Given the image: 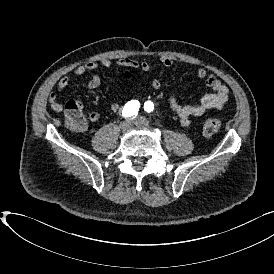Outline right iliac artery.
<instances>
[{"label": "right iliac artery", "mask_w": 274, "mask_h": 274, "mask_svg": "<svg viewBox=\"0 0 274 274\" xmlns=\"http://www.w3.org/2000/svg\"><path fill=\"white\" fill-rule=\"evenodd\" d=\"M140 104L137 100H131L126 104L122 111V115L126 118L132 117L135 118L138 114Z\"/></svg>", "instance_id": "82829eb1"}]
</instances>
